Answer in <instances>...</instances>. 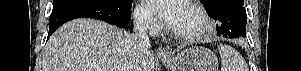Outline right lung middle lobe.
Instances as JSON below:
<instances>
[{"mask_svg":"<svg viewBox=\"0 0 301 71\" xmlns=\"http://www.w3.org/2000/svg\"><path fill=\"white\" fill-rule=\"evenodd\" d=\"M67 1H69V0H54L53 5L64 3ZM97 1H100V2H124L125 0H97Z\"/></svg>","mask_w":301,"mask_h":71,"instance_id":"dd1d6c3e","label":"right lung middle lobe"}]
</instances>
